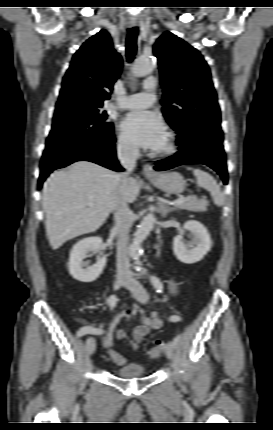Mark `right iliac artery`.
<instances>
[{"instance_id":"right-iliac-artery-1","label":"right iliac artery","mask_w":273,"mask_h":430,"mask_svg":"<svg viewBox=\"0 0 273 430\" xmlns=\"http://www.w3.org/2000/svg\"><path fill=\"white\" fill-rule=\"evenodd\" d=\"M117 297L115 295H111L107 299V305L113 309L116 306ZM99 333H103V331L98 330H81L79 337L81 338L83 335H98Z\"/></svg>"}]
</instances>
